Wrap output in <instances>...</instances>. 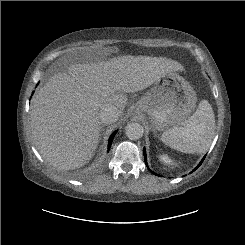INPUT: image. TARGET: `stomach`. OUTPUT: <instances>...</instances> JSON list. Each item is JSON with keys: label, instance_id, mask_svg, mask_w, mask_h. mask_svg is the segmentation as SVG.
Masks as SVG:
<instances>
[{"label": "stomach", "instance_id": "1", "mask_svg": "<svg viewBox=\"0 0 245 245\" xmlns=\"http://www.w3.org/2000/svg\"><path fill=\"white\" fill-rule=\"evenodd\" d=\"M196 102L191 85L177 72H169L155 81L136 111L147 114L154 131H166L186 121Z\"/></svg>", "mask_w": 245, "mask_h": 245}]
</instances>
